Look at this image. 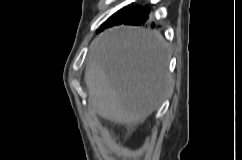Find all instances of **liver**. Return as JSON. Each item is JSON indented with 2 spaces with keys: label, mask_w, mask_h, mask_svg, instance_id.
Listing matches in <instances>:
<instances>
[{
  "label": "liver",
  "mask_w": 242,
  "mask_h": 160,
  "mask_svg": "<svg viewBox=\"0 0 242 160\" xmlns=\"http://www.w3.org/2000/svg\"><path fill=\"white\" fill-rule=\"evenodd\" d=\"M167 44L153 31L117 26L90 45L85 71L89 103L102 117L133 125L149 116L170 91Z\"/></svg>",
  "instance_id": "liver-1"
}]
</instances>
